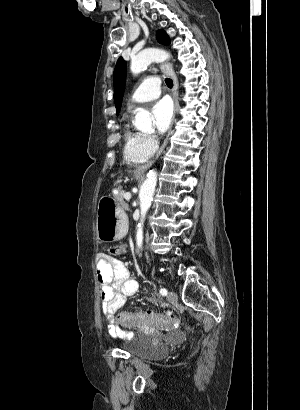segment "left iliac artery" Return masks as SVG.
<instances>
[{"instance_id": "44dca946", "label": "left iliac artery", "mask_w": 300, "mask_h": 410, "mask_svg": "<svg viewBox=\"0 0 300 410\" xmlns=\"http://www.w3.org/2000/svg\"><path fill=\"white\" fill-rule=\"evenodd\" d=\"M160 294H161L162 296H166V295H167V290H166L165 288H161V289H160Z\"/></svg>"}]
</instances>
